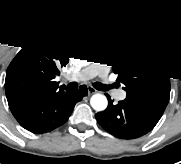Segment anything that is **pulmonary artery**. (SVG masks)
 Instances as JSON below:
<instances>
[{"label": "pulmonary artery", "mask_w": 181, "mask_h": 164, "mask_svg": "<svg viewBox=\"0 0 181 164\" xmlns=\"http://www.w3.org/2000/svg\"><path fill=\"white\" fill-rule=\"evenodd\" d=\"M108 72H109V70L105 65L97 62V63H92L91 65L84 68L83 70H81L78 73L67 76V79H69V80H88L90 78L98 76V77H100L101 82L103 84H110L111 79L108 75ZM115 97L119 100H122L125 98V94H124V92L120 91L115 94Z\"/></svg>", "instance_id": "e3ab8cb5"}]
</instances>
